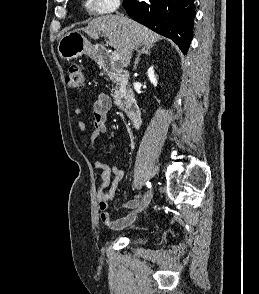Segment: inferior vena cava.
I'll list each match as a JSON object with an SVG mask.
<instances>
[{
	"instance_id": "1",
	"label": "inferior vena cava",
	"mask_w": 259,
	"mask_h": 294,
	"mask_svg": "<svg viewBox=\"0 0 259 294\" xmlns=\"http://www.w3.org/2000/svg\"><path fill=\"white\" fill-rule=\"evenodd\" d=\"M135 49V47L134 46H132V50H134Z\"/></svg>"
}]
</instances>
